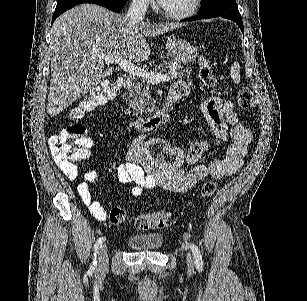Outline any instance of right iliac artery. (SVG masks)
<instances>
[{"label": "right iliac artery", "mask_w": 307, "mask_h": 301, "mask_svg": "<svg viewBox=\"0 0 307 301\" xmlns=\"http://www.w3.org/2000/svg\"><path fill=\"white\" fill-rule=\"evenodd\" d=\"M104 240H105L104 237H100L99 239H97L94 245V261H93V266H92L93 269H95V267L97 266V253H98L99 248L102 246Z\"/></svg>", "instance_id": "obj_1"}]
</instances>
